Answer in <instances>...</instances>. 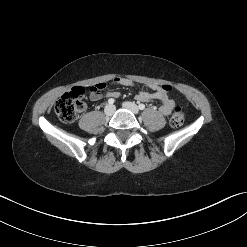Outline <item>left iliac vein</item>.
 Returning a JSON list of instances; mask_svg holds the SVG:
<instances>
[{
  "label": "left iliac vein",
  "instance_id": "4c4485c4",
  "mask_svg": "<svg viewBox=\"0 0 247 247\" xmlns=\"http://www.w3.org/2000/svg\"><path fill=\"white\" fill-rule=\"evenodd\" d=\"M122 106L128 110H130L132 113L134 114H138L139 113V108L135 103L132 102H124L122 104Z\"/></svg>",
  "mask_w": 247,
  "mask_h": 247
}]
</instances>
